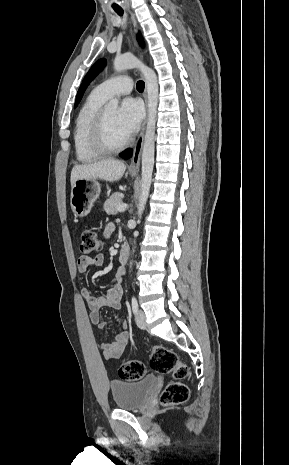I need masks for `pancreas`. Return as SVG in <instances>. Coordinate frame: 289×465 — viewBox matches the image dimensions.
Returning <instances> with one entry per match:
<instances>
[{
	"label": "pancreas",
	"instance_id": "pancreas-1",
	"mask_svg": "<svg viewBox=\"0 0 289 465\" xmlns=\"http://www.w3.org/2000/svg\"><path fill=\"white\" fill-rule=\"evenodd\" d=\"M123 194L116 192L110 196L104 203V210L108 215H115L118 213V207L123 204Z\"/></svg>",
	"mask_w": 289,
	"mask_h": 465
}]
</instances>
